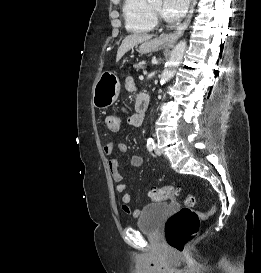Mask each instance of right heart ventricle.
Returning a JSON list of instances; mask_svg holds the SVG:
<instances>
[{
    "mask_svg": "<svg viewBox=\"0 0 261 273\" xmlns=\"http://www.w3.org/2000/svg\"><path fill=\"white\" fill-rule=\"evenodd\" d=\"M123 17L126 29L132 33H148L156 26L149 0H124Z\"/></svg>",
    "mask_w": 261,
    "mask_h": 273,
    "instance_id": "1",
    "label": "right heart ventricle"
}]
</instances>
